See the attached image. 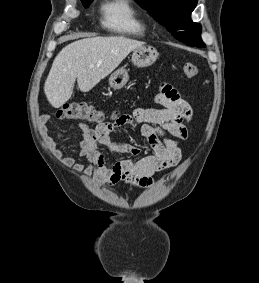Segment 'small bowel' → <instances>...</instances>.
<instances>
[{"label": "small bowel", "mask_w": 259, "mask_h": 283, "mask_svg": "<svg viewBox=\"0 0 259 283\" xmlns=\"http://www.w3.org/2000/svg\"><path fill=\"white\" fill-rule=\"evenodd\" d=\"M154 102L161 107H139L132 114L121 115L114 121L102 122L95 128L79 124L81 138L78 142V157H63V164L85 176H95L110 186L118 183L141 187L151 185L152 178L158 171L174 167L181 160V150L175 138L184 140L188 137L187 124L192 119V109L169 84L161 86ZM48 120L47 115L42 116V125L45 126ZM118 127L138 129L153 154L138 160L126 158L107 164L102 148L112 153H126L132 157L141 154L140 147L136 145L111 140L110 134ZM61 138L63 134L58 133L56 139ZM78 158L85 161H79Z\"/></svg>", "instance_id": "small-bowel-1"}]
</instances>
